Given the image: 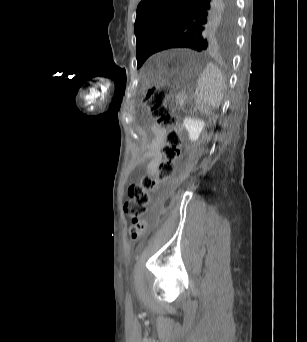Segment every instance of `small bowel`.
<instances>
[{
  "label": "small bowel",
  "mask_w": 307,
  "mask_h": 342,
  "mask_svg": "<svg viewBox=\"0 0 307 342\" xmlns=\"http://www.w3.org/2000/svg\"><path fill=\"white\" fill-rule=\"evenodd\" d=\"M153 138L148 142L146 151L139 157L138 164L148 161L146 171L152 175L155 173L156 166L162 160L161 149L165 142L166 131L157 124L151 125Z\"/></svg>",
  "instance_id": "obj_1"
}]
</instances>
